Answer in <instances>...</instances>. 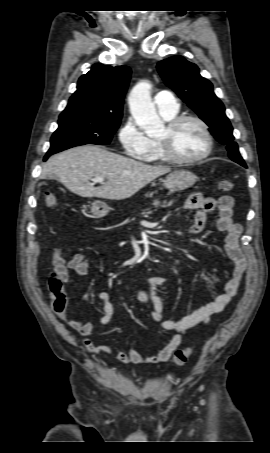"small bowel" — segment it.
I'll return each mask as SVG.
<instances>
[{
	"label": "small bowel",
	"instance_id": "obj_1",
	"mask_svg": "<svg viewBox=\"0 0 270 453\" xmlns=\"http://www.w3.org/2000/svg\"><path fill=\"white\" fill-rule=\"evenodd\" d=\"M233 205L234 200L228 195H223L217 200H213L203 198L199 194L191 195L184 205L186 210L195 211L194 223L191 227L193 234L202 230L207 213L213 210L218 213L216 227L220 232L226 233L225 251L234 268L232 277L225 286L224 293L186 316L178 319H166L163 301L158 295L157 289L166 283L167 278L163 275H156L143 280L142 287L137 293L138 300L148 310L151 318L160 323L163 330L175 333L164 347L152 355L144 354L135 349L127 351L116 349L110 344L95 345L89 338L95 327L92 322L68 318L66 313L59 314L62 320L83 338V345L86 351L92 355L116 352L117 359L124 364L164 363L171 358L174 351L178 348L182 334L195 326L208 323L214 314L221 312L237 294L247 268V259L240 246L243 230L240 224L233 221ZM52 261L54 271L58 273L64 283H75L70 275V270L78 276L88 274L89 262L83 253H77L69 260H66L62 248L56 247L52 253ZM97 298L103 308V314L98 322L101 326H106L113 317L114 305L111 302L110 294L106 291L99 292Z\"/></svg>",
	"mask_w": 270,
	"mask_h": 453
}]
</instances>
